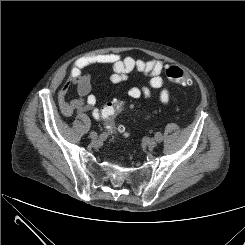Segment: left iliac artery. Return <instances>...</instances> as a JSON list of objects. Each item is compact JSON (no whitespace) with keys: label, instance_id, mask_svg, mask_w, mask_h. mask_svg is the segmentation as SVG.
I'll list each match as a JSON object with an SVG mask.
<instances>
[{"label":"left iliac artery","instance_id":"left-iliac-artery-1","mask_svg":"<svg viewBox=\"0 0 245 245\" xmlns=\"http://www.w3.org/2000/svg\"><path fill=\"white\" fill-rule=\"evenodd\" d=\"M155 138H156V140H157L158 142H161V141H162V135H161V133H160V132H157V133L155 134Z\"/></svg>","mask_w":245,"mask_h":245}]
</instances>
